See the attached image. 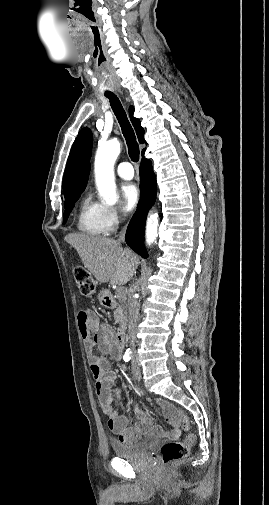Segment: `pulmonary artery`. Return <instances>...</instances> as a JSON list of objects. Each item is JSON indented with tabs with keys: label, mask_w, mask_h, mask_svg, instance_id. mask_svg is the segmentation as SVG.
<instances>
[{
	"label": "pulmonary artery",
	"mask_w": 269,
	"mask_h": 505,
	"mask_svg": "<svg viewBox=\"0 0 269 505\" xmlns=\"http://www.w3.org/2000/svg\"><path fill=\"white\" fill-rule=\"evenodd\" d=\"M118 175L123 179H132L134 176V170L129 162H122L117 167Z\"/></svg>",
	"instance_id": "1"
}]
</instances>
